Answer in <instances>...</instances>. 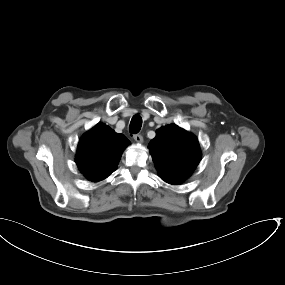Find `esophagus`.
Returning a JSON list of instances; mask_svg holds the SVG:
<instances>
[{
  "label": "esophagus",
  "instance_id": "esophagus-1",
  "mask_svg": "<svg viewBox=\"0 0 285 285\" xmlns=\"http://www.w3.org/2000/svg\"><path fill=\"white\" fill-rule=\"evenodd\" d=\"M133 138L137 143H143V137L140 134L133 135Z\"/></svg>",
  "mask_w": 285,
  "mask_h": 285
}]
</instances>
